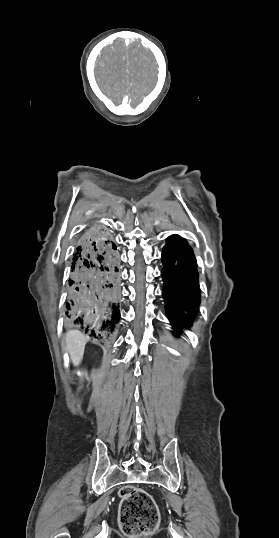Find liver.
Segmentation results:
<instances>
[{
    "mask_svg": "<svg viewBox=\"0 0 279 538\" xmlns=\"http://www.w3.org/2000/svg\"><path fill=\"white\" fill-rule=\"evenodd\" d=\"M88 340L89 338L83 336L79 330H68L65 338V350L69 352L73 366L81 364Z\"/></svg>",
    "mask_w": 279,
    "mask_h": 538,
    "instance_id": "6515ba94",
    "label": "liver"
}]
</instances>
